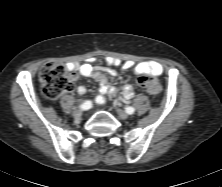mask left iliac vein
<instances>
[{"label": "left iliac vein", "mask_w": 222, "mask_h": 187, "mask_svg": "<svg viewBox=\"0 0 222 187\" xmlns=\"http://www.w3.org/2000/svg\"><path fill=\"white\" fill-rule=\"evenodd\" d=\"M116 111H117V113H118V116H119L122 120H127V119L129 118V115H128L125 111H123V110H121V109H117Z\"/></svg>", "instance_id": "left-iliac-vein-1"}]
</instances>
